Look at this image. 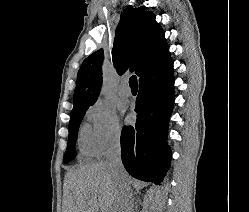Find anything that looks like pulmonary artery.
<instances>
[{"label":"pulmonary artery","instance_id":"pulmonary-artery-1","mask_svg":"<svg viewBox=\"0 0 249 212\" xmlns=\"http://www.w3.org/2000/svg\"><path fill=\"white\" fill-rule=\"evenodd\" d=\"M118 93L122 98H128L131 95V89L129 86V76L124 75L122 77V82L119 86Z\"/></svg>","mask_w":249,"mask_h":212}]
</instances>
